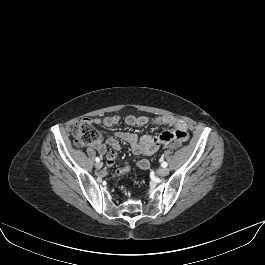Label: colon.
<instances>
[{
  "instance_id": "obj_1",
  "label": "colon",
  "mask_w": 265,
  "mask_h": 265,
  "mask_svg": "<svg viewBox=\"0 0 265 265\" xmlns=\"http://www.w3.org/2000/svg\"><path fill=\"white\" fill-rule=\"evenodd\" d=\"M72 134L75 144L80 147L95 144L100 139L98 131L93 127L92 123L88 119L77 121L73 126ZM180 145L181 143L178 140L168 139L163 146L176 149ZM129 172V167H123L114 173V177H120L128 174Z\"/></svg>"
}]
</instances>
